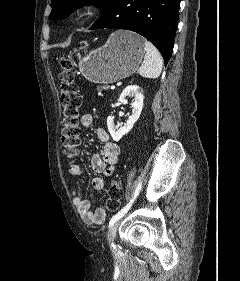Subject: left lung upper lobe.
I'll list each match as a JSON object with an SVG mask.
<instances>
[{"label": "left lung upper lobe", "mask_w": 240, "mask_h": 281, "mask_svg": "<svg viewBox=\"0 0 240 281\" xmlns=\"http://www.w3.org/2000/svg\"><path fill=\"white\" fill-rule=\"evenodd\" d=\"M112 0H52V11L49 19L61 20L71 14L77 7L96 3L103 12Z\"/></svg>", "instance_id": "1"}]
</instances>
